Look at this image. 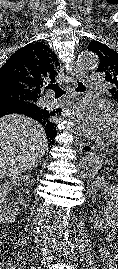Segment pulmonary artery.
I'll list each match as a JSON object with an SVG mask.
<instances>
[{
    "label": "pulmonary artery",
    "instance_id": "1",
    "mask_svg": "<svg viewBox=\"0 0 118 269\" xmlns=\"http://www.w3.org/2000/svg\"><path fill=\"white\" fill-rule=\"evenodd\" d=\"M86 83L92 90H99L103 87V78L99 75L90 76L87 78Z\"/></svg>",
    "mask_w": 118,
    "mask_h": 269
}]
</instances>
